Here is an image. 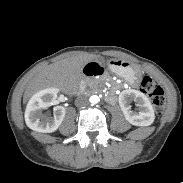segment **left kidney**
<instances>
[{
    "label": "left kidney",
    "instance_id": "1",
    "mask_svg": "<svg viewBox=\"0 0 183 183\" xmlns=\"http://www.w3.org/2000/svg\"><path fill=\"white\" fill-rule=\"evenodd\" d=\"M119 105L125 119L135 126H149L154 122L155 114L152 104L145 94L138 90L127 89L118 97ZM134 101L139 107L138 112L131 110L130 102Z\"/></svg>",
    "mask_w": 183,
    "mask_h": 183
}]
</instances>
